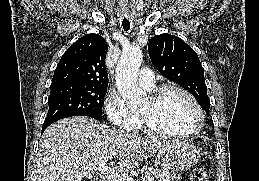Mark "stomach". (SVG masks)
Here are the masks:
<instances>
[{
    "instance_id": "0dacf381",
    "label": "stomach",
    "mask_w": 259,
    "mask_h": 181,
    "mask_svg": "<svg viewBox=\"0 0 259 181\" xmlns=\"http://www.w3.org/2000/svg\"><path fill=\"white\" fill-rule=\"evenodd\" d=\"M157 159L162 168L182 172L196 164L199 159V152L191 144L175 142L160 150Z\"/></svg>"
}]
</instances>
